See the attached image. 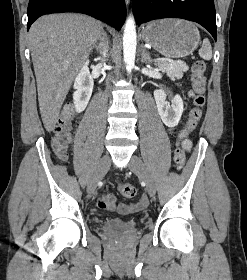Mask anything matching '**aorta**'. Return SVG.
Wrapping results in <instances>:
<instances>
[{
    "label": "aorta",
    "instance_id": "762f6f07",
    "mask_svg": "<svg viewBox=\"0 0 247 280\" xmlns=\"http://www.w3.org/2000/svg\"><path fill=\"white\" fill-rule=\"evenodd\" d=\"M136 26L133 17H128L123 35V55L126 71L130 73L134 67L136 55Z\"/></svg>",
    "mask_w": 247,
    "mask_h": 280
}]
</instances>
